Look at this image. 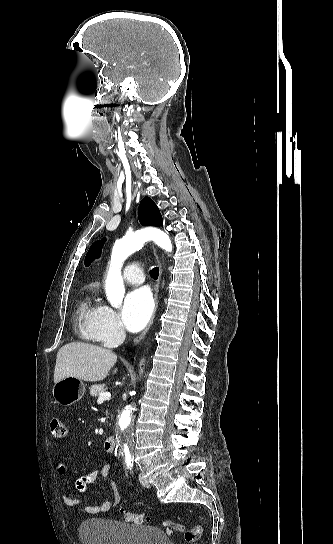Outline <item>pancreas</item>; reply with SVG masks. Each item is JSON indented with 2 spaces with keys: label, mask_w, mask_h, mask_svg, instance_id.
<instances>
[{
  "label": "pancreas",
  "mask_w": 333,
  "mask_h": 544,
  "mask_svg": "<svg viewBox=\"0 0 333 544\" xmlns=\"http://www.w3.org/2000/svg\"><path fill=\"white\" fill-rule=\"evenodd\" d=\"M105 391H106L105 384L92 385L90 387V395L92 397L100 396V394L104 393Z\"/></svg>",
  "instance_id": "obj_1"
}]
</instances>
